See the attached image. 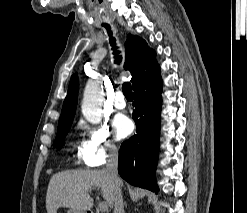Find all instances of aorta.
Returning a JSON list of instances; mask_svg holds the SVG:
<instances>
[{"mask_svg":"<svg viewBox=\"0 0 247 213\" xmlns=\"http://www.w3.org/2000/svg\"><path fill=\"white\" fill-rule=\"evenodd\" d=\"M104 100V92L99 79H91L87 82L82 102V114L92 124L101 120V107Z\"/></svg>","mask_w":247,"mask_h":213,"instance_id":"aorta-1","label":"aorta"}]
</instances>
